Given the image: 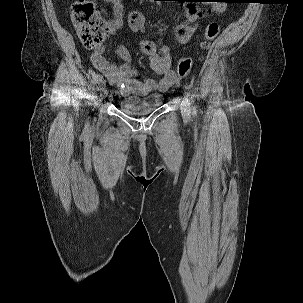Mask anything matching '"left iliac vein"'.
Here are the masks:
<instances>
[{"label": "left iliac vein", "instance_id": "1", "mask_svg": "<svg viewBox=\"0 0 303 303\" xmlns=\"http://www.w3.org/2000/svg\"><path fill=\"white\" fill-rule=\"evenodd\" d=\"M181 112L184 118H189L191 113L190 103L187 99H184L181 103Z\"/></svg>", "mask_w": 303, "mask_h": 303}]
</instances>
